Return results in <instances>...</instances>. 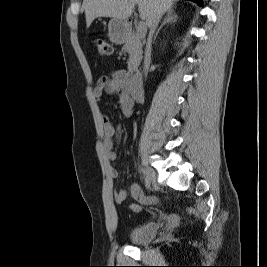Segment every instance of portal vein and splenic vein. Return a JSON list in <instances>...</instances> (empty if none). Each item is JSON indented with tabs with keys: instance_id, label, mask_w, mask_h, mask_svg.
Listing matches in <instances>:
<instances>
[{
	"instance_id": "1",
	"label": "portal vein and splenic vein",
	"mask_w": 267,
	"mask_h": 267,
	"mask_svg": "<svg viewBox=\"0 0 267 267\" xmlns=\"http://www.w3.org/2000/svg\"><path fill=\"white\" fill-rule=\"evenodd\" d=\"M137 35L140 38H144L146 35V24L143 21H140L138 23V27H137Z\"/></svg>"
}]
</instances>
